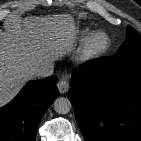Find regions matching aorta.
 I'll list each match as a JSON object with an SVG mask.
<instances>
[{
    "mask_svg": "<svg viewBox=\"0 0 141 141\" xmlns=\"http://www.w3.org/2000/svg\"><path fill=\"white\" fill-rule=\"evenodd\" d=\"M54 109L58 114H67L71 108V102L68 98L65 97H59L57 98L54 103Z\"/></svg>",
    "mask_w": 141,
    "mask_h": 141,
    "instance_id": "1",
    "label": "aorta"
}]
</instances>
